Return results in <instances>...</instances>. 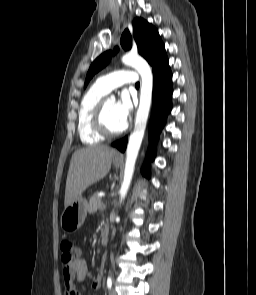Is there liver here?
Here are the masks:
<instances>
[{
    "instance_id": "obj_1",
    "label": "liver",
    "mask_w": 256,
    "mask_h": 295,
    "mask_svg": "<svg viewBox=\"0 0 256 295\" xmlns=\"http://www.w3.org/2000/svg\"><path fill=\"white\" fill-rule=\"evenodd\" d=\"M116 153L115 149L105 145L89 146L73 153L67 174L65 207L108 174Z\"/></svg>"
}]
</instances>
